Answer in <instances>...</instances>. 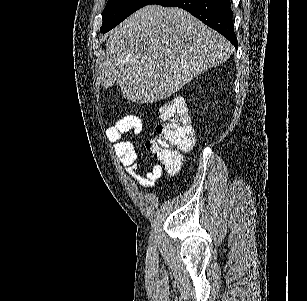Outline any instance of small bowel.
Masks as SVG:
<instances>
[{
  "instance_id": "1",
  "label": "small bowel",
  "mask_w": 307,
  "mask_h": 301,
  "mask_svg": "<svg viewBox=\"0 0 307 301\" xmlns=\"http://www.w3.org/2000/svg\"><path fill=\"white\" fill-rule=\"evenodd\" d=\"M142 128L143 122L139 116H128L110 126L106 131V135L109 142L113 144L115 155L130 176L141 187L150 188L162 177V168L155 166L150 171L142 170L133 143L123 139V136L128 132L138 135L141 133Z\"/></svg>"
}]
</instances>
